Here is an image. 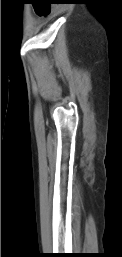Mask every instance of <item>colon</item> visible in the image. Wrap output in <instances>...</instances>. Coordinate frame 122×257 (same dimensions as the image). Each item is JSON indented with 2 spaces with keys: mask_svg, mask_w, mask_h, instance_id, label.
Segmentation results:
<instances>
[{
  "mask_svg": "<svg viewBox=\"0 0 122 257\" xmlns=\"http://www.w3.org/2000/svg\"><path fill=\"white\" fill-rule=\"evenodd\" d=\"M52 5H35V10H52Z\"/></svg>",
  "mask_w": 122,
  "mask_h": 257,
  "instance_id": "colon-1",
  "label": "colon"
}]
</instances>
